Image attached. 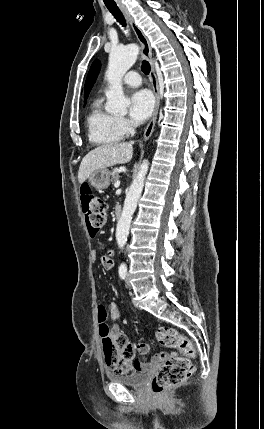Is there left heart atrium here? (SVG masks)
I'll use <instances>...</instances> for the list:
<instances>
[{
  "label": "left heart atrium",
  "instance_id": "left-heart-atrium-1",
  "mask_svg": "<svg viewBox=\"0 0 264 429\" xmlns=\"http://www.w3.org/2000/svg\"><path fill=\"white\" fill-rule=\"evenodd\" d=\"M154 99L148 90L136 91L130 101V117L135 122H144L152 114Z\"/></svg>",
  "mask_w": 264,
  "mask_h": 429
}]
</instances>
